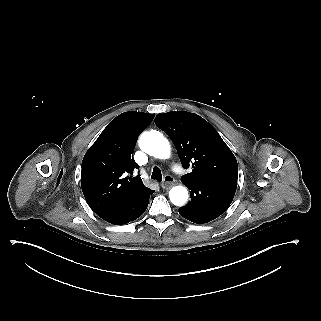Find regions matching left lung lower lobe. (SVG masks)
<instances>
[{"instance_id":"obj_1","label":"left lung lower lobe","mask_w":321,"mask_h":321,"mask_svg":"<svg viewBox=\"0 0 321 321\" xmlns=\"http://www.w3.org/2000/svg\"><path fill=\"white\" fill-rule=\"evenodd\" d=\"M190 190L191 201L179 208L185 219L197 223H207L224 213L231 204L237 177H223L184 183Z\"/></svg>"}]
</instances>
